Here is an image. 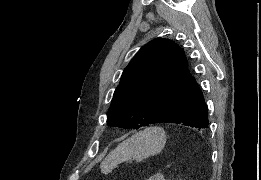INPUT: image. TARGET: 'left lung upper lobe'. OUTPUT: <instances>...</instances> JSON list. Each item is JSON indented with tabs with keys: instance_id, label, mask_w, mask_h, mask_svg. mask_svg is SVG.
Masks as SVG:
<instances>
[{
	"instance_id": "1",
	"label": "left lung upper lobe",
	"mask_w": 261,
	"mask_h": 180,
	"mask_svg": "<svg viewBox=\"0 0 261 180\" xmlns=\"http://www.w3.org/2000/svg\"><path fill=\"white\" fill-rule=\"evenodd\" d=\"M190 77L182 49L169 39L144 45L123 71L107 114L110 125H150Z\"/></svg>"
}]
</instances>
